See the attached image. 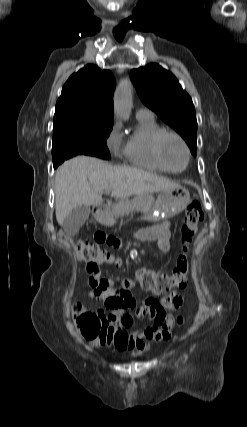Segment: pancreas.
<instances>
[{
  "instance_id": "1",
  "label": "pancreas",
  "mask_w": 247,
  "mask_h": 427,
  "mask_svg": "<svg viewBox=\"0 0 247 427\" xmlns=\"http://www.w3.org/2000/svg\"><path fill=\"white\" fill-rule=\"evenodd\" d=\"M153 202L152 195L136 196L132 199L124 198L115 204L112 214L115 217H122L132 211L148 212L152 208Z\"/></svg>"
}]
</instances>
